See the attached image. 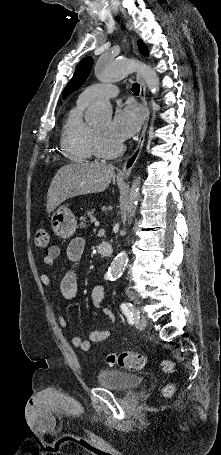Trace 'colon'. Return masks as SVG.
<instances>
[{
    "label": "colon",
    "mask_w": 221,
    "mask_h": 455,
    "mask_svg": "<svg viewBox=\"0 0 221 455\" xmlns=\"http://www.w3.org/2000/svg\"><path fill=\"white\" fill-rule=\"evenodd\" d=\"M35 246L39 250H46L52 248L51 243V236L50 233L46 229H38L35 234ZM107 362L110 365H116L124 369H128L131 371H139L142 370L146 365V358L144 355L137 353V352H120V353H113L110 354L107 358ZM163 369L166 372L173 371V363L171 361H164L163 362ZM172 385H167L164 389V393L169 395L172 391Z\"/></svg>",
    "instance_id": "1"
}]
</instances>
